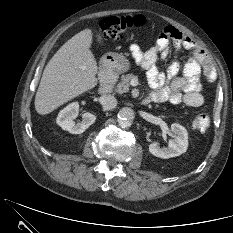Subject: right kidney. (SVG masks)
<instances>
[{
  "label": "right kidney",
  "instance_id": "ca27d5eb",
  "mask_svg": "<svg viewBox=\"0 0 233 233\" xmlns=\"http://www.w3.org/2000/svg\"><path fill=\"white\" fill-rule=\"evenodd\" d=\"M78 114L79 104L78 102H73L59 112L56 122L63 130L72 134L83 133L95 122L96 116L86 112L82 115V121L75 123L74 119Z\"/></svg>",
  "mask_w": 233,
  "mask_h": 233
}]
</instances>
